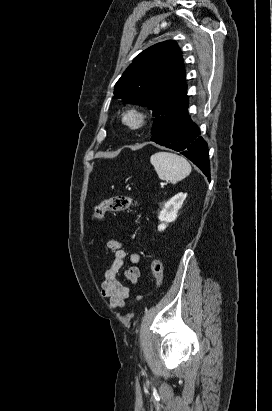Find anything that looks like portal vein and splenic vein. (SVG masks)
<instances>
[{
	"mask_svg": "<svg viewBox=\"0 0 272 411\" xmlns=\"http://www.w3.org/2000/svg\"><path fill=\"white\" fill-rule=\"evenodd\" d=\"M160 185H164V183H160Z\"/></svg>",
	"mask_w": 272,
	"mask_h": 411,
	"instance_id": "18ae733b",
	"label": "portal vein and splenic vein"
}]
</instances>
